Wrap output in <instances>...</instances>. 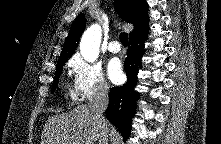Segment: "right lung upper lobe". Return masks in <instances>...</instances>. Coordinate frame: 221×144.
I'll return each mask as SVG.
<instances>
[{
  "mask_svg": "<svg viewBox=\"0 0 221 144\" xmlns=\"http://www.w3.org/2000/svg\"><path fill=\"white\" fill-rule=\"evenodd\" d=\"M115 7L123 20L133 24L134 29L130 33V37L148 28L149 21L146 16L148 5L144 0H116ZM84 29L85 16L84 14H80L72 24L57 64L66 63L71 57Z\"/></svg>",
  "mask_w": 221,
  "mask_h": 144,
  "instance_id": "1",
  "label": "right lung upper lobe"
}]
</instances>
